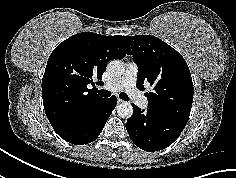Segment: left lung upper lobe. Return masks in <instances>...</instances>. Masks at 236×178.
I'll return each instance as SVG.
<instances>
[{
  "instance_id": "obj_1",
  "label": "left lung upper lobe",
  "mask_w": 236,
  "mask_h": 178,
  "mask_svg": "<svg viewBox=\"0 0 236 178\" xmlns=\"http://www.w3.org/2000/svg\"><path fill=\"white\" fill-rule=\"evenodd\" d=\"M130 55L138 65V88L149 82L153 91L145 96L149 108L188 120L193 102V82L182 55L161 39L150 35L125 36Z\"/></svg>"
}]
</instances>
